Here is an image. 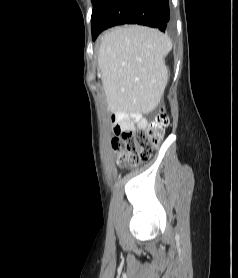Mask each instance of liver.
<instances>
[{
	"mask_svg": "<svg viewBox=\"0 0 238 278\" xmlns=\"http://www.w3.org/2000/svg\"><path fill=\"white\" fill-rule=\"evenodd\" d=\"M171 49L170 38L149 27L128 25L106 33L98 67L108 108L141 113L155 109L167 85L164 58Z\"/></svg>",
	"mask_w": 238,
	"mask_h": 278,
	"instance_id": "6515ba94",
	"label": "liver"
}]
</instances>
